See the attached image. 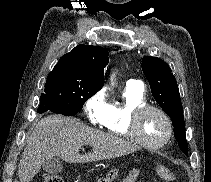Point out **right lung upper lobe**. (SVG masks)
Listing matches in <instances>:
<instances>
[{
	"label": "right lung upper lobe",
	"instance_id": "1",
	"mask_svg": "<svg viewBox=\"0 0 211 182\" xmlns=\"http://www.w3.org/2000/svg\"><path fill=\"white\" fill-rule=\"evenodd\" d=\"M109 53L98 46L78 45L63 55L51 72H60L70 77L98 85H104V67L108 64Z\"/></svg>",
	"mask_w": 211,
	"mask_h": 182
}]
</instances>
